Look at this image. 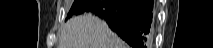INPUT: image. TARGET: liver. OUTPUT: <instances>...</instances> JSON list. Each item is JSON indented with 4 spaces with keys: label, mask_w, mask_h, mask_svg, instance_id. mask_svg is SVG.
<instances>
[{
    "label": "liver",
    "mask_w": 213,
    "mask_h": 48,
    "mask_svg": "<svg viewBox=\"0 0 213 48\" xmlns=\"http://www.w3.org/2000/svg\"><path fill=\"white\" fill-rule=\"evenodd\" d=\"M57 48H126L108 25L92 14L75 16L62 27Z\"/></svg>",
    "instance_id": "1"
}]
</instances>
